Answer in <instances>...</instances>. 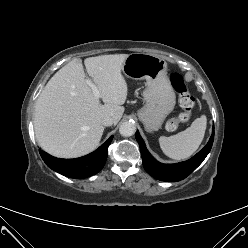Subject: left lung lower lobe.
Here are the masks:
<instances>
[{
	"mask_svg": "<svg viewBox=\"0 0 248 248\" xmlns=\"http://www.w3.org/2000/svg\"><path fill=\"white\" fill-rule=\"evenodd\" d=\"M139 143L143 166L152 177L168 182L180 181L190 175L206 158L214 140V126L212 135L207 145L191 159L177 164H163L154 159L146 149L145 143L141 138L139 131L135 134Z\"/></svg>",
	"mask_w": 248,
	"mask_h": 248,
	"instance_id": "obj_1",
	"label": "left lung lower lobe"
}]
</instances>
